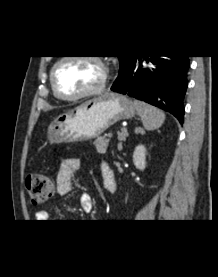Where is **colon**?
<instances>
[{"instance_id":"5ec220e1","label":"colon","mask_w":218,"mask_h":277,"mask_svg":"<svg viewBox=\"0 0 218 277\" xmlns=\"http://www.w3.org/2000/svg\"><path fill=\"white\" fill-rule=\"evenodd\" d=\"M26 187L30 201L33 204L45 203L53 194V180L42 173H33L28 176Z\"/></svg>"}]
</instances>
